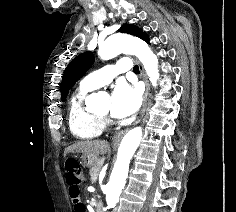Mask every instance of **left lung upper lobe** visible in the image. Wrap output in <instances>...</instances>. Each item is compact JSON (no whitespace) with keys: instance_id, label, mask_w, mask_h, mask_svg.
<instances>
[{"instance_id":"left-lung-upper-lobe-1","label":"left lung upper lobe","mask_w":236,"mask_h":212,"mask_svg":"<svg viewBox=\"0 0 236 212\" xmlns=\"http://www.w3.org/2000/svg\"><path fill=\"white\" fill-rule=\"evenodd\" d=\"M122 33H128L135 35L143 40L146 39V33L132 24H123L119 29ZM94 63V55L92 52H85L74 58L67 68L65 69L62 83H61V97L64 100L68 94V91L73 85L87 72V70Z\"/></svg>"}]
</instances>
